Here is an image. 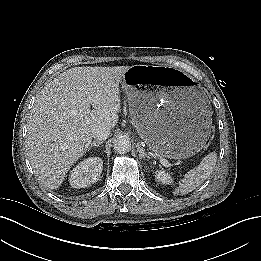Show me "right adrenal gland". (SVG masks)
I'll list each match as a JSON object with an SVG mask.
<instances>
[{"label":"right adrenal gland","mask_w":261,"mask_h":261,"mask_svg":"<svg viewBox=\"0 0 261 261\" xmlns=\"http://www.w3.org/2000/svg\"><path fill=\"white\" fill-rule=\"evenodd\" d=\"M102 144H103V141H93V142L90 144V146H89V148H88V151L91 150V148H92L93 146H95L96 148H98V147H100V145H102Z\"/></svg>","instance_id":"obj_1"}]
</instances>
